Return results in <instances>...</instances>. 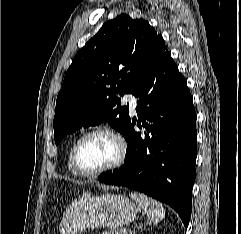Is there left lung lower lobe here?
Returning a JSON list of instances; mask_svg holds the SVG:
<instances>
[{
	"instance_id": "0a47b994",
	"label": "left lung lower lobe",
	"mask_w": 241,
	"mask_h": 234,
	"mask_svg": "<svg viewBox=\"0 0 241 234\" xmlns=\"http://www.w3.org/2000/svg\"><path fill=\"white\" fill-rule=\"evenodd\" d=\"M133 95L138 121L130 119L124 165L102 173L105 184L129 187L170 205L187 227L196 176V112L185 78L167 47L145 72ZM137 123L141 132L134 131Z\"/></svg>"
}]
</instances>
